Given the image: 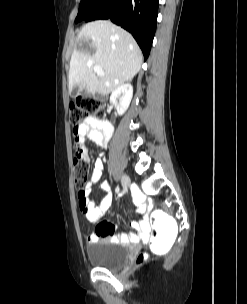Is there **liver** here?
Returning <instances> with one entry per match:
<instances>
[{"label":"liver","instance_id":"obj_1","mask_svg":"<svg viewBox=\"0 0 247 304\" xmlns=\"http://www.w3.org/2000/svg\"><path fill=\"white\" fill-rule=\"evenodd\" d=\"M143 62L142 52L130 33L110 21L90 22L80 30L72 53L68 89L80 85L88 94L107 95L131 81ZM99 65L104 76L93 67Z\"/></svg>","mask_w":247,"mask_h":304}]
</instances>
